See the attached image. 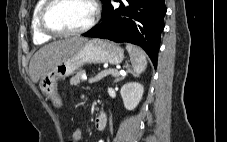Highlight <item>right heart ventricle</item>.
<instances>
[{
  "instance_id": "e07e8e85",
  "label": "right heart ventricle",
  "mask_w": 227,
  "mask_h": 142,
  "mask_svg": "<svg viewBox=\"0 0 227 142\" xmlns=\"http://www.w3.org/2000/svg\"><path fill=\"white\" fill-rule=\"evenodd\" d=\"M46 0H37L34 5L31 17V30H32V37L33 41L36 44H43L49 41L52 36L44 33L39 27V12L44 5Z\"/></svg>"
}]
</instances>
